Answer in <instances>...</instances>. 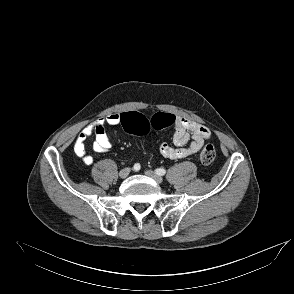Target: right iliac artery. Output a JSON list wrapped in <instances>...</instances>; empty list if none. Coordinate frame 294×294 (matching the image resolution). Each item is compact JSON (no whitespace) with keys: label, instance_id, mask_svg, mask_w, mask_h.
<instances>
[{"label":"right iliac artery","instance_id":"82829eb1","mask_svg":"<svg viewBox=\"0 0 294 294\" xmlns=\"http://www.w3.org/2000/svg\"><path fill=\"white\" fill-rule=\"evenodd\" d=\"M133 170L134 171H139L140 170V164L139 163H136L133 167Z\"/></svg>","mask_w":294,"mask_h":294}]
</instances>
